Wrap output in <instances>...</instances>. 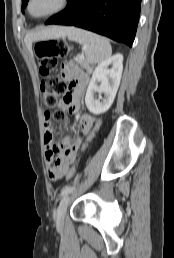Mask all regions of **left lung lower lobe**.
Returning <instances> with one entry per match:
<instances>
[{
	"mask_svg": "<svg viewBox=\"0 0 174 258\" xmlns=\"http://www.w3.org/2000/svg\"><path fill=\"white\" fill-rule=\"evenodd\" d=\"M141 0H69L65 10L45 24L76 26L132 46Z\"/></svg>",
	"mask_w": 174,
	"mask_h": 258,
	"instance_id": "1",
	"label": "left lung lower lobe"
}]
</instances>
